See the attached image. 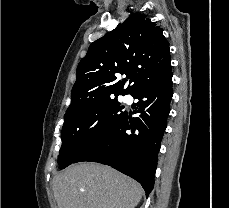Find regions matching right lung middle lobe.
I'll return each instance as SVG.
<instances>
[{
    "label": "right lung middle lobe",
    "instance_id": "obj_1",
    "mask_svg": "<svg viewBox=\"0 0 229 208\" xmlns=\"http://www.w3.org/2000/svg\"><path fill=\"white\" fill-rule=\"evenodd\" d=\"M124 114L115 97L100 101L76 115L65 117L58 156L59 168L72 164L82 152L115 128Z\"/></svg>",
    "mask_w": 229,
    "mask_h": 208
}]
</instances>
